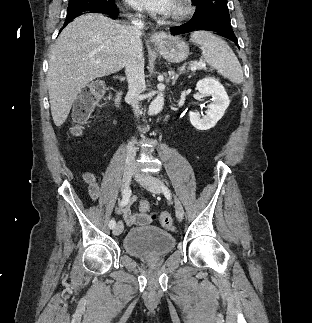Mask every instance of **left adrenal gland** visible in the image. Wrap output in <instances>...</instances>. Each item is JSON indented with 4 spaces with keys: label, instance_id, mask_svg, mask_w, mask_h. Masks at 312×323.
Wrapping results in <instances>:
<instances>
[{
    "label": "left adrenal gland",
    "instance_id": "a2214340",
    "mask_svg": "<svg viewBox=\"0 0 312 323\" xmlns=\"http://www.w3.org/2000/svg\"><path fill=\"white\" fill-rule=\"evenodd\" d=\"M168 74H169V78L172 82V86H174V84H175L176 80H178L181 72H179V74H175V72H173V70H171V72H168Z\"/></svg>",
    "mask_w": 312,
    "mask_h": 323
}]
</instances>
